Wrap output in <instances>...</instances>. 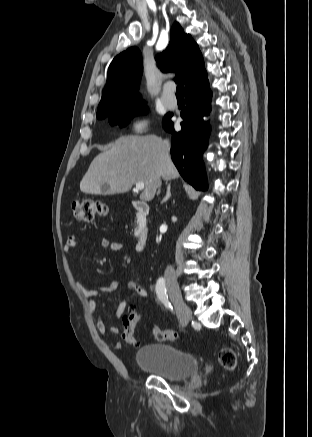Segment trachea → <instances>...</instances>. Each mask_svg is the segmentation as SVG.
I'll list each match as a JSON object with an SVG mask.
<instances>
[{
    "label": "trachea",
    "mask_w": 312,
    "mask_h": 437,
    "mask_svg": "<svg viewBox=\"0 0 312 437\" xmlns=\"http://www.w3.org/2000/svg\"><path fill=\"white\" fill-rule=\"evenodd\" d=\"M176 96H184L183 84L177 86Z\"/></svg>",
    "instance_id": "trachea-1"
}]
</instances>
